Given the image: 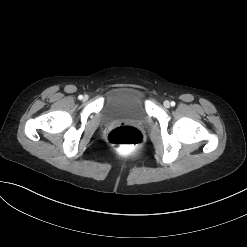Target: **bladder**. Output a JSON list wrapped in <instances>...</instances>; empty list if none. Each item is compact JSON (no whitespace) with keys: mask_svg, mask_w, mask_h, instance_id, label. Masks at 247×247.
<instances>
[{"mask_svg":"<svg viewBox=\"0 0 247 247\" xmlns=\"http://www.w3.org/2000/svg\"><path fill=\"white\" fill-rule=\"evenodd\" d=\"M99 115L103 124L119 120L143 123L148 118L146 95L135 87L112 88L104 97Z\"/></svg>","mask_w":247,"mask_h":247,"instance_id":"1","label":"bladder"}]
</instances>
